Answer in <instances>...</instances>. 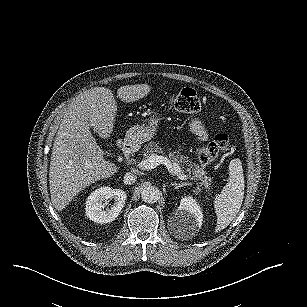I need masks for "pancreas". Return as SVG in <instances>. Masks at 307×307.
<instances>
[{"instance_id":"obj_1","label":"pancreas","mask_w":307,"mask_h":307,"mask_svg":"<svg viewBox=\"0 0 307 307\" xmlns=\"http://www.w3.org/2000/svg\"><path fill=\"white\" fill-rule=\"evenodd\" d=\"M142 153L145 157L148 158L152 154H163V150L156 142L150 141L144 145ZM169 158L173 164L179 165L181 174L185 176L186 179L197 182V193L201 191V187H204L207 191L211 189L212 178L207 176L206 171H204L198 164L193 162L187 163L188 161H183V157L176 154V152H170Z\"/></svg>"}]
</instances>
